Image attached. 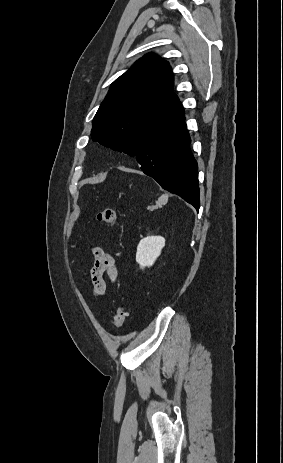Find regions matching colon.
<instances>
[{
  "instance_id": "1",
  "label": "colon",
  "mask_w": 283,
  "mask_h": 463,
  "mask_svg": "<svg viewBox=\"0 0 283 463\" xmlns=\"http://www.w3.org/2000/svg\"><path fill=\"white\" fill-rule=\"evenodd\" d=\"M98 222L106 225H115L117 222V212L114 209L106 208L100 210L96 216ZM126 319V310L123 305H119L114 315V327L119 329L123 326Z\"/></svg>"
}]
</instances>
